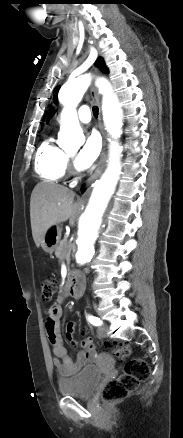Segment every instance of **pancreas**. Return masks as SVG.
Segmentation results:
<instances>
[{"label": "pancreas", "instance_id": "cf45deb5", "mask_svg": "<svg viewBox=\"0 0 183 438\" xmlns=\"http://www.w3.org/2000/svg\"><path fill=\"white\" fill-rule=\"evenodd\" d=\"M70 254H71V249L69 247V244L65 240L60 241L55 251L56 257L60 261L66 260L67 264H69Z\"/></svg>", "mask_w": 183, "mask_h": 438}]
</instances>
